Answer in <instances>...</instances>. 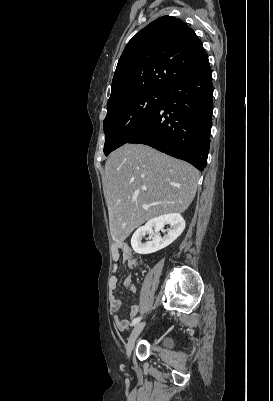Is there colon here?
<instances>
[{
	"label": "colon",
	"instance_id": "colon-1",
	"mask_svg": "<svg viewBox=\"0 0 273 401\" xmlns=\"http://www.w3.org/2000/svg\"><path fill=\"white\" fill-rule=\"evenodd\" d=\"M126 291H132V286H126Z\"/></svg>",
	"mask_w": 273,
	"mask_h": 401
}]
</instances>
